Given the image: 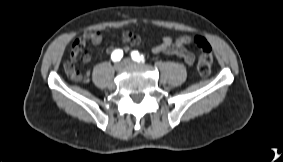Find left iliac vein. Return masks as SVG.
Instances as JSON below:
<instances>
[{"instance_id":"left-iliac-vein-1","label":"left iliac vein","mask_w":283,"mask_h":162,"mask_svg":"<svg viewBox=\"0 0 283 162\" xmlns=\"http://www.w3.org/2000/svg\"><path fill=\"white\" fill-rule=\"evenodd\" d=\"M123 63L126 65V66H129V65H133L134 64V61L130 58H125L123 60Z\"/></svg>"}]
</instances>
